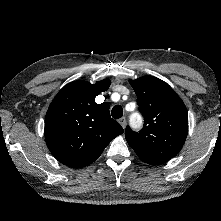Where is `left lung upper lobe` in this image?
I'll list each match as a JSON object with an SVG mask.
<instances>
[{
  "instance_id": "1",
  "label": "left lung upper lobe",
  "mask_w": 221,
  "mask_h": 221,
  "mask_svg": "<svg viewBox=\"0 0 221 221\" xmlns=\"http://www.w3.org/2000/svg\"><path fill=\"white\" fill-rule=\"evenodd\" d=\"M130 84L137 95L144 126L139 132L127 126L125 138L144 162H166L179 153L186 140L187 109L176 92L156 77L144 76L130 80Z\"/></svg>"
}]
</instances>
